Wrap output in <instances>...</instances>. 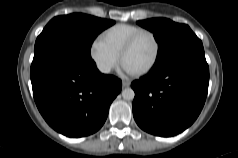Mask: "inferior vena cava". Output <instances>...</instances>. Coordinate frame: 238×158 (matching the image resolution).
<instances>
[{
	"instance_id": "1",
	"label": "inferior vena cava",
	"mask_w": 238,
	"mask_h": 158,
	"mask_svg": "<svg viewBox=\"0 0 238 158\" xmlns=\"http://www.w3.org/2000/svg\"><path fill=\"white\" fill-rule=\"evenodd\" d=\"M98 69L102 73H109L110 70H111V66L109 64H106V63H100V64H98Z\"/></svg>"
}]
</instances>
